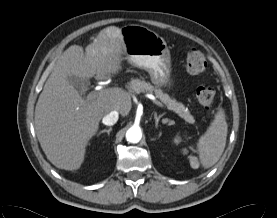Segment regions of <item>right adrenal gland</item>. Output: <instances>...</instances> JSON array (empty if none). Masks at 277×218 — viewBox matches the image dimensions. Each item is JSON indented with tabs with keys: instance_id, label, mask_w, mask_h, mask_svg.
I'll return each mask as SVG.
<instances>
[{
	"instance_id": "1",
	"label": "right adrenal gland",
	"mask_w": 277,
	"mask_h": 218,
	"mask_svg": "<svg viewBox=\"0 0 277 218\" xmlns=\"http://www.w3.org/2000/svg\"><path fill=\"white\" fill-rule=\"evenodd\" d=\"M112 131V127H110L109 129H104V130H101L99 133H98V136L101 135L102 133H107L108 135H110V132Z\"/></svg>"
}]
</instances>
